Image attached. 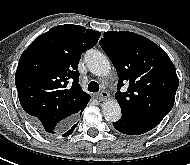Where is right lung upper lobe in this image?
Wrapping results in <instances>:
<instances>
[{
  "label": "right lung upper lobe",
  "instance_id": "obj_1",
  "mask_svg": "<svg viewBox=\"0 0 190 165\" xmlns=\"http://www.w3.org/2000/svg\"><path fill=\"white\" fill-rule=\"evenodd\" d=\"M101 33L66 24L37 37L20 57L15 83L22 108L48 134L66 132L90 100L79 85L81 54Z\"/></svg>",
  "mask_w": 190,
  "mask_h": 165
}]
</instances>
